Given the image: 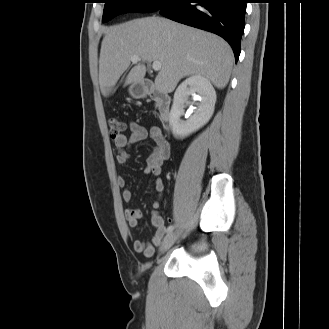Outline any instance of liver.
Masks as SVG:
<instances>
[{"label":"liver","mask_w":329,"mask_h":329,"mask_svg":"<svg viewBox=\"0 0 329 329\" xmlns=\"http://www.w3.org/2000/svg\"><path fill=\"white\" fill-rule=\"evenodd\" d=\"M138 55L140 63L129 72L125 85L142 81L145 62L159 61L155 86L172 92L186 76L200 75L219 89L230 79L233 53L226 41L212 33L165 18L145 17L109 27L101 44L99 84L107 97Z\"/></svg>","instance_id":"1"}]
</instances>
